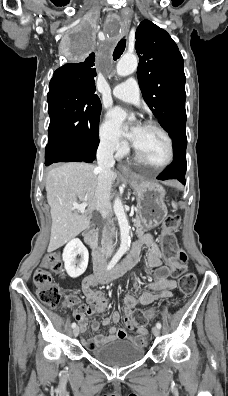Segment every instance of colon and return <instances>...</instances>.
Masks as SVG:
<instances>
[{"instance_id": "obj_1", "label": "colon", "mask_w": 228, "mask_h": 396, "mask_svg": "<svg viewBox=\"0 0 228 396\" xmlns=\"http://www.w3.org/2000/svg\"><path fill=\"white\" fill-rule=\"evenodd\" d=\"M180 216L170 214L162 223V243L167 259L172 266V274L179 279V289L182 294L190 295L196 287V275L188 271L187 255L178 248L174 232L180 227ZM51 271L63 272L62 257L58 253H48L33 275V283L40 301L48 307L60 309L73 303L71 297L62 295L60 288L53 281ZM151 311L136 309L132 311L131 321L137 327H144L152 317Z\"/></svg>"}]
</instances>
